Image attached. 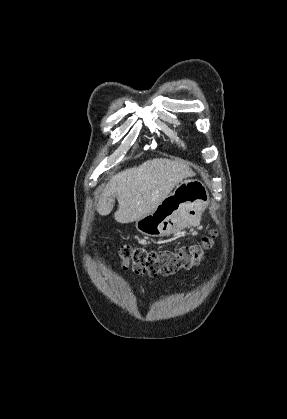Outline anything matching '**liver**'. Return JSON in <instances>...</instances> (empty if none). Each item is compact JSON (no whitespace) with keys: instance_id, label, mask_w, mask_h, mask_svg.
Listing matches in <instances>:
<instances>
[{"instance_id":"liver-1","label":"liver","mask_w":287,"mask_h":419,"mask_svg":"<svg viewBox=\"0 0 287 419\" xmlns=\"http://www.w3.org/2000/svg\"><path fill=\"white\" fill-rule=\"evenodd\" d=\"M194 175L183 160L154 158L113 176L104 187L97 211L108 215L118 201L114 218L119 223L137 221L151 213L184 179Z\"/></svg>"}]
</instances>
